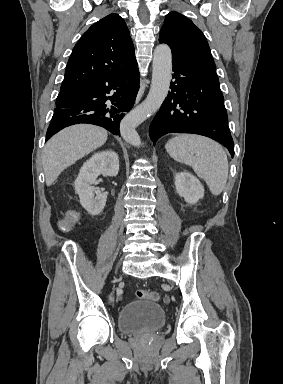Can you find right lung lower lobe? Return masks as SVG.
<instances>
[{
    "label": "right lung lower lobe",
    "instance_id": "right-lung-lower-lobe-1",
    "mask_svg": "<svg viewBox=\"0 0 283 384\" xmlns=\"http://www.w3.org/2000/svg\"><path fill=\"white\" fill-rule=\"evenodd\" d=\"M138 90L137 65L127 72L86 83L69 99L56 104L46 141L61 129L79 123L102 126L120 136V121L132 109Z\"/></svg>",
    "mask_w": 283,
    "mask_h": 384
}]
</instances>
